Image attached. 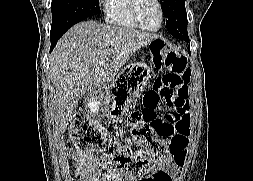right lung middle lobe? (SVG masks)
<instances>
[{"label": "right lung middle lobe", "mask_w": 253, "mask_h": 181, "mask_svg": "<svg viewBox=\"0 0 253 181\" xmlns=\"http://www.w3.org/2000/svg\"><path fill=\"white\" fill-rule=\"evenodd\" d=\"M50 37L66 32L74 24L100 13L98 0H52Z\"/></svg>", "instance_id": "obj_1"}]
</instances>
